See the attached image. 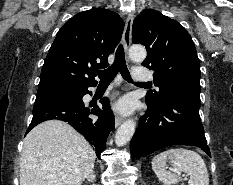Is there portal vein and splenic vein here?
I'll list each match as a JSON object with an SVG mask.
<instances>
[{
  "label": "portal vein and splenic vein",
  "mask_w": 233,
  "mask_h": 185,
  "mask_svg": "<svg viewBox=\"0 0 233 185\" xmlns=\"http://www.w3.org/2000/svg\"><path fill=\"white\" fill-rule=\"evenodd\" d=\"M176 173H178L179 175H181V173L179 171H175Z\"/></svg>",
  "instance_id": "obj_1"
}]
</instances>
